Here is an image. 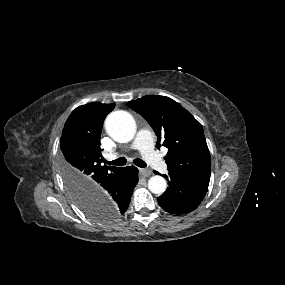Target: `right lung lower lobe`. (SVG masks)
<instances>
[{"instance_id":"1","label":"right lung lower lobe","mask_w":285,"mask_h":285,"mask_svg":"<svg viewBox=\"0 0 285 285\" xmlns=\"http://www.w3.org/2000/svg\"><path fill=\"white\" fill-rule=\"evenodd\" d=\"M137 182L138 169L134 166L122 167L119 172L100 183L94 190L95 196L91 201L109 205L119 217L128 209Z\"/></svg>"}]
</instances>
